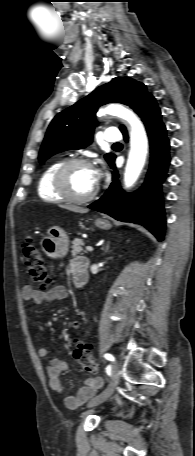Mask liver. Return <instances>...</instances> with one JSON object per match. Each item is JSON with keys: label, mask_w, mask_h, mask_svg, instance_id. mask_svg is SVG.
<instances>
[{"label": "liver", "mask_w": 195, "mask_h": 456, "mask_svg": "<svg viewBox=\"0 0 195 456\" xmlns=\"http://www.w3.org/2000/svg\"><path fill=\"white\" fill-rule=\"evenodd\" d=\"M59 207H61L63 209H67L72 212H76V213H87L88 212L87 209H84V208H81L78 206H74V205L65 204V205H59Z\"/></svg>", "instance_id": "1"}]
</instances>
